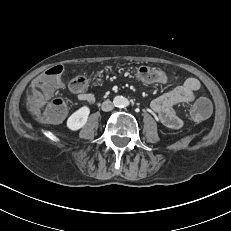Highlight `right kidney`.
<instances>
[{"label":"right kidney","instance_id":"right-kidney-1","mask_svg":"<svg viewBox=\"0 0 231 231\" xmlns=\"http://www.w3.org/2000/svg\"><path fill=\"white\" fill-rule=\"evenodd\" d=\"M89 114H90V109L87 106H83L80 109H78L68 118L67 120L68 129L72 131H77L80 128H82L86 124Z\"/></svg>","mask_w":231,"mask_h":231}]
</instances>
